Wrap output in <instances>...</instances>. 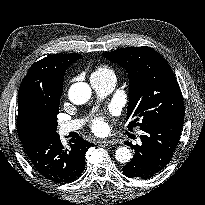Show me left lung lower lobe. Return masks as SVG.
Wrapping results in <instances>:
<instances>
[{
	"instance_id": "obj_1",
	"label": "left lung lower lobe",
	"mask_w": 205,
	"mask_h": 205,
	"mask_svg": "<svg viewBox=\"0 0 205 205\" xmlns=\"http://www.w3.org/2000/svg\"><path fill=\"white\" fill-rule=\"evenodd\" d=\"M184 116H174L145 128L142 145H130L134 157L123 168L130 178L148 179L160 172L171 160L180 140Z\"/></svg>"
}]
</instances>
